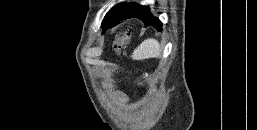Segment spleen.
Wrapping results in <instances>:
<instances>
[{
  "instance_id": "obj_1",
  "label": "spleen",
  "mask_w": 257,
  "mask_h": 130,
  "mask_svg": "<svg viewBox=\"0 0 257 130\" xmlns=\"http://www.w3.org/2000/svg\"><path fill=\"white\" fill-rule=\"evenodd\" d=\"M161 55V46L156 39L148 38L144 40L133 52V60H144L150 58H159Z\"/></svg>"
}]
</instances>
